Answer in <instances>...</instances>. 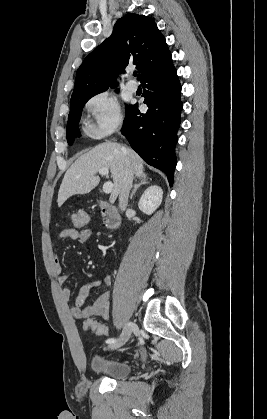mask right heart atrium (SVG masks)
I'll return each instance as SVG.
<instances>
[{
  "instance_id": "1",
  "label": "right heart atrium",
  "mask_w": 267,
  "mask_h": 419,
  "mask_svg": "<svg viewBox=\"0 0 267 419\" xmlns=\"http://www.w3.org/2000/svg\"><path fill=\"white\" fill-rule=\"evenodd\" d=\"M86 109L92 116L87 134L93 138H104L123 124L120 103L109 92L103 91L92 96L86 103Z\"/></svg>"
}]
</instances>
